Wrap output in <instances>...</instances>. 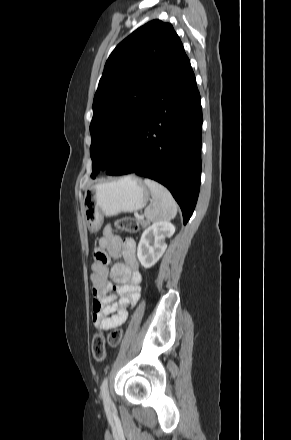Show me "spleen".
I'll return each mask as SVG.
<instances>
[{"label": "spleen", "mask_w": 291, "mask_h": 440, "mask_svg": "<svg viewBox=\"0 0 291 440\" xmlns=\"http://www.w3.org/2000/svg\"><path fill=\"white\" fill-rule=\"evenodd\" d=\"M144 183L152 195V202L144 212L147 220L152 222L173 219L177 214V204L168 189L148 178L144 180Z\"/></svg>", "instance_id": "spleen-1"}]
</instances>
